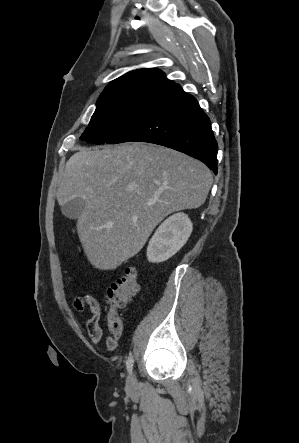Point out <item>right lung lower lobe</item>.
<instances>
[{
    "label": "right lung lower lobe",
    "instance_id": "98d812e1",
    "mask_svg": "<svg viewBox=\"0 0 299 443\" xmlns=\"http://www.w3.org/2000/svg\"><path fill=\"white\" fill-rule=\"evenodd\" d=\"M148 142L186 153L217 173V142L197 100L179 84L168 88L108 144Z\"/></svg>",
    "mask_w": 299,
    "mask_h": 443
}]
</instances>
